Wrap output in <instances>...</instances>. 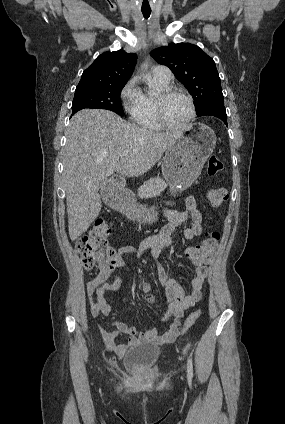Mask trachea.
<instances>
[{"label": "trachea", "mask_w": 285, "mask_h": 424, "mask_svg": "<svg viewBox=\"0 0 285 424\" xmlns=\"http://www.w3.org/2000/svg\"><path fill=\"white\" fill-rule=\"evenodd\" d=\"M142 13H143L144 18L145 19H148L149 16H150V14H151V10H149V11H142Z\"/></svg>", "instance_id": "trachea-1"}]
</instances>
